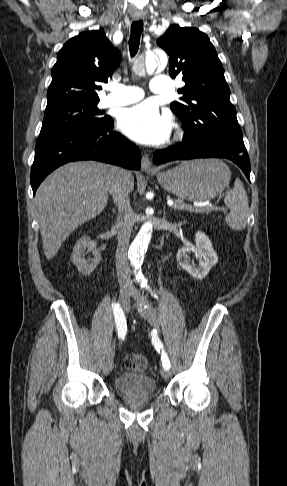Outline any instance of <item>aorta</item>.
<instances>
[{"label": "aorta", "instance_id": "obj_1", "mask_svg": "<svg viewBox=\"0 0 287 486\" xmlns=\"http://www.w3.org/2000/svg\"><path fill=\"white\" fill-rule=\"evenodd\" d=\"M166 63V57H158L155 54H151L146 58V70L148 72H152L157 67H164ZM152 233L153 229L151 223L146 222L142 225L133 242L131 243L128 251V257L135 267H138L140 265L144 254L147 251V247L150 243Z\"/></svg>", "mask_w": 287, "mask_h": 486}]
</instances>
